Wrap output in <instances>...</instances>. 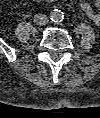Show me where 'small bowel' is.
Masks as SVG:
<instances>
[{
  "label": "small bowel",
  "instance_id": "small-bowel-1",
  "mask_svg": "<svg viewBox=\"0 0 100 118\" xmlns=\"http://www.w3.org/2000/svg\"><path fill=\"white\" fill-rule=\"evenodd\" d=\"M39 2L41 0H34ZM49 2H55L56 0H47ZM97 5L100 7V0H96ZM81 9L86 14V16L91 19L95 24H100V13L95 11L93 7L88 2L81 3Z\"/></svg>",
  "mask_w": 100,
  "mask_h": 118
}]
</instances>
